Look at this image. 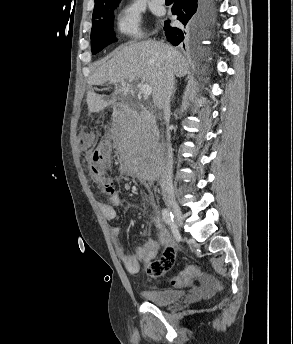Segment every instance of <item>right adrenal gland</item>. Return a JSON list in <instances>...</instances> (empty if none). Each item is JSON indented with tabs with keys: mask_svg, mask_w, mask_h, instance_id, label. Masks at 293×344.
<instances>
[{
	"mask_svg": "<svg viewBox=\"0 0 293 344\" xmlns=\"http://www.w3.org/2000/svg\"><path fill=\"white\" fill-rule=\"evenodd\" d=\"M174 93H175V88H174V91H173V96H174Z\"/></svg>",
	"mask_w": 293,
	"mask_h": 344,
	"instance_id": "obj_1",
	"label": "right adrenal gland"
}]
</instances>
